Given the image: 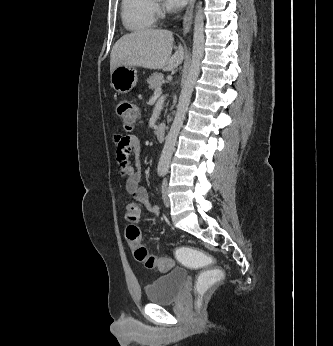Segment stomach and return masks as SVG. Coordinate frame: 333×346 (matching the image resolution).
I'll return each mask as SVG.
<instances>
[{
  "mask_svg": "<svg viewBox=\"0 0 333 346\" xmlns=\"http://www.w3.org/2000/svg\"><path fill=\"white\" fill-rule=\"evenodd\" d=\"M137 71L134 67L118 66L111 73V87L120 94L128 93L137 83Z\"/></svg>",
  "mask_w": 333,
  "mask_h": 346,
  "instance_id": "stomach-1",
  "label": "stomach"
}]
</instances>
